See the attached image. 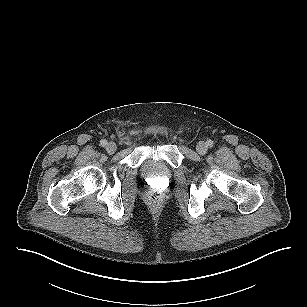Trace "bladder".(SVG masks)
<instances>
[{
    "mask_svg": "<svg viewBox=\"0 0 307 307\" xmlns=\"http://www.w3.org/2000/svg\"><path fill=\"white\" fill-rule=\"evenodd\" d=\"M142 172L148 178L168 179L171 176V171L166 165L155 158H148L144 161Z\"/></svg>",
    "mask_w": 307,
    "mask_h": 307,
    "instance_id": "bladder-1",
    "label": "bladder"
}]
</instances>
